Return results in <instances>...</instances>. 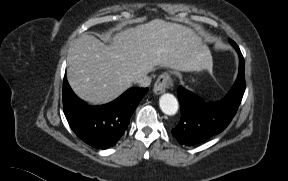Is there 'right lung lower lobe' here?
<instances>
[{"mask_svg": "<svg viewBox=\"0 0 288 181\" xmlns=\"http://www.w3.org/2000/svg\"><path fill=\"white\" fill-rule=\"evenodd\" d=\"M148 88H131L111 103L89 106L71 90L66 77L63 82L64 114L73 132L88 145L106 149L125 133L130 117Z\"/></svg>", "mask_w": 288, "mask_h": 181, "instance_id": "right-lung-lower-lobe-1", "label": "right lung lower lobe"}]
</instances>
